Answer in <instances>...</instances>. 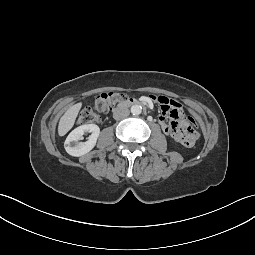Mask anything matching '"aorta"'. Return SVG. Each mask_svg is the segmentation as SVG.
Returning a JSON list of instances; mask_svg holds the SVG:
<instances>
[{
  "mask_svg": "<svg viewBox=\"0 0 255 255\" xmlns=\"http://www.w3.org/2000/svg\"><path fill=\"white\" fill-rule=\"evenodd\" d=\"M142 112V107L138 104L131 106V113L133 115H139Z\"/></svg>",
  "mask_w": 255,
  "mask_h": 255,
  "instance_id": "762f6f07",
  "label": "aorta"
}]
</instances>
